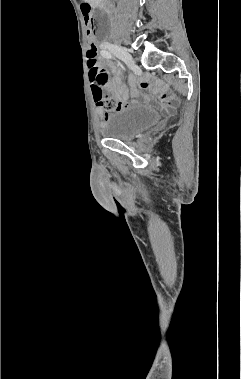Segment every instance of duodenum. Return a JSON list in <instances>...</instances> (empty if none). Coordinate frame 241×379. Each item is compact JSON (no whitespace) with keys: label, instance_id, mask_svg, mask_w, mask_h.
I'll return each mask as SVG.
<instances>
[{"label":"duodenum","instance_id":"1","mask_svg":"<svg viewBox=\"0 0 241 379\" xmlns=\"http://www.w3.org/2000/svg\"><path fill=\"white\" fill-rule=\"evenodd\" d=\"M105 1H107V0H89L90 4H88V3H86V4H88L91 8V5L95 6V5H98L99 3H103Z\"/></svg>","mask_w":241,"mask_h":379}]
</instances>
